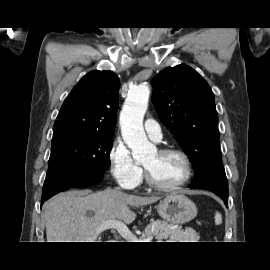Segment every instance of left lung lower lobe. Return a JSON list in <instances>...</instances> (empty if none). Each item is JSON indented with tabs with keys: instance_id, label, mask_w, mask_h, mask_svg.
Here are the masks:
<instances>
[{
	"instance_id": "1",
	"label": "left lung lower lobe",
	"mask_w": 270,
	"mask_h": 270,
	"mask_svg": "<svg viewBox=\"0 0 270 270\" xmlns=\"http://www.w3.org/2000/svg\"><path fill=\"white\" fill-rule=\"evenodd\" d=\"M191 189H206L217 194L228 207V182L224 169H215L189 185Z\"/></svg>"
}]
</instances>
